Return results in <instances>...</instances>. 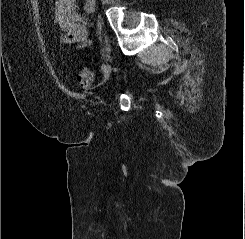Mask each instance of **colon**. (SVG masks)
I'll list each match as a JSON object with an SVG mask.
<instances>
[{
  "mask_svg": "<svg viewBox=\"0 0 245 239\" xmlns=\"http://www.w3.org/2000/svg\"><path fill=\"white\" fill-rule=\"evenodd\" d=\"M77 82L82 88H90L94 83L92 72L87 67H82L77 75Z\"/></svg>",
  "mask_w": 245,
  "mask_h": 239,
  "instance_id": "5ec220e1",
  "label": "colon"
}]
</instances>
